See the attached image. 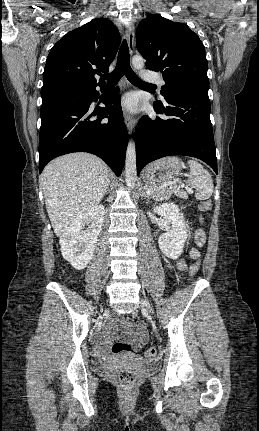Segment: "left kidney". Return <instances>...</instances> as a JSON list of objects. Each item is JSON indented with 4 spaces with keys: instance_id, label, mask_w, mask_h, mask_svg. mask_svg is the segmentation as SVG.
I'll use <instances>...</instances> for the list:
<instances>
[{
    "instance_id": "left-kidney-1",
    "label": "left kidney",
    "mask_w": 259,
    "mask_h": 431,
    "mask_svg": "<svg viewBox=\"0 0 259 431\" xmlns=\"http://www.w3.org/2000/svg\"><path fill=\"white\" fill-rule=\"evenodd\" d=\"M157 213L172 224V229L160 235L158 243L162 253L171 259H177L183 252L184 244L188 237V230L185 225L183 214L177 205L173 203H163L153 208Z\"/></svg>"
}]
</instances>
